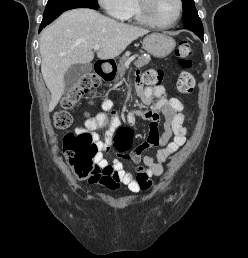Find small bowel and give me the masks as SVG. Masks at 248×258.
Masks as SVG:
<instances>
[{
	"label": "small bowel",
	"mask_w": 248,
	"mask_h": 258,
	"mask_svg": "<svg viewBox=\"0 0 248 258\" xmlns=\"http://www.w3.org/2000/svg\"><path fill=\"white\" fill-rule=\"evenodd\" d=\"M137 92L145 105L151 106V111L133 110L129 112L127 121L133 124L136 118H143L150 121V132L146 141L138 144L127 159L139 163L141 160L144 167L140 168L136 174L125 170L121 160L114 159L109 163L103 152L109 149L112 137L120 125V119L113 110L111 99H104L101 103L102 111L94 117L86 118L84 125L76 128V132H88L97 144L98 153L94 162L103 170L104 176H99V180H88V185L98 183L102 187L114 189L120 183L126 185L132 192H142L150 188V178L160 176L163 173V164L186 142L187 129L184 126V106L179 98H167L166 90L163 86L143 87L140 82L137 84ZM156 98V102L153 99ZM110 113V116L107 114ZM159 113L164 116L163 132L158 133ZM107 128L105 139H99L97 130ZM161 147L156 159L143 153L151 147Z\"/></svg>",
	"instance_id": "obj_1"
}]
</instances>
